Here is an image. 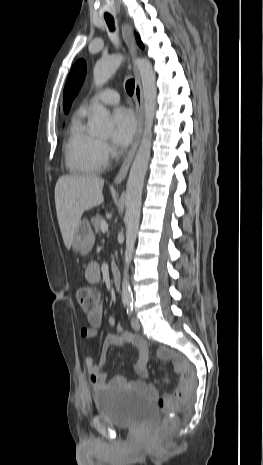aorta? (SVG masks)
I'll list each match as a JSON object with an SVG mask.
<instances>
[{"mask_svg": "<svg viewBox=\"0 0 263 465\" xmlns=\"http://www.w3.org/2000/svg\"><path fill=\"white\" fill-rule=\"evenodd\" d=\"M124 57L114 54L108 58L99 60L93 70V79L97 87H102L115 73L123 62ZM135 64L139 70L144 98L145 124L141 142L130 169L125 195V223H126V249H125V269L122 281V301L132 302V291L129 283L128 269L134 252V245L137 238L141 198L145 175L148 169L152 146V127L156 110V75L150 61L145 58H138ZM91 130L96 134H107L112 130V122L109 112L100 104H95L93 114L89 121Z\"/></svg>", "mask_w": 263, "mask_h": 465, "instance_id": "obj_1", "label": "aorta"}]
</instances>
